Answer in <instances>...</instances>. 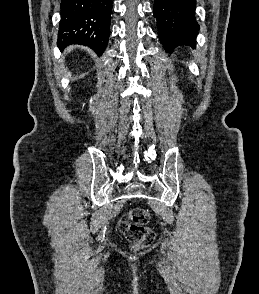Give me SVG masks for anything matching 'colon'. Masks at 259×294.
<instances>
[{
  "label": "colon",
  "mask_w": 259,
  "mask_h": 294,
  "mask_svg": "<svg viewBox=\"0 0 259 294\" xmlns=\"http://www.w3.org/2000/svg\"><path fill=\"white\" fill-rule=\"evenodd\" d=\"M149 212L144 208H133L119 223L121 232L135 249L145 248L152 244L154 232L147 227Z\"/></svg>",
  "instance_id": "1"
}]
</instances>
